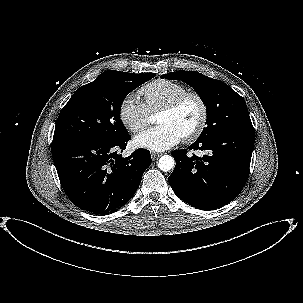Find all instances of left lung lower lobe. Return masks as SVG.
<instances>
[{
    "label": "left lung lower lobe",
    "mask_w": 303,
    "mask_h": 303,
    "mask_svg": "<svg viewBox=\"0 0 303 303\" xmlns=\"http://www.w3.org/2000/svg\"><path fill=\"white\" fill-rule=\"evenodd\" d=\"M254 142V132L235 131L189 146L207 152L203 157H189L185 149L173 151L176 166L168 178L170 186L180 199L198 209L228 204L248 179Z\"/></svg>",
    "instance_id": "left-lung-lower-lobe-1"
}]
</instances>
